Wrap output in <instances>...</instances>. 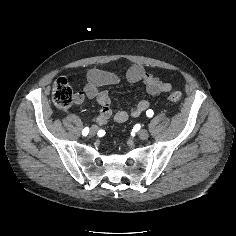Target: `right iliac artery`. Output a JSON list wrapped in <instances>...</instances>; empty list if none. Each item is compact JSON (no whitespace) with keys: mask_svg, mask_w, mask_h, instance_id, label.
I'll list each match as a JSON object with an SVG mask.
<instances>
[{"mask_svg":"<svg viewBox=\"0 0 236 236\" xmlns=\"http://www.w3.org/2000/svg\"><path fill=\"white\" fill-rule=\"evenodd\" d=\"M88 133H89V128L88 127L84 128L82 131V135L86 136V135H88Z\"/></svg>","mask_w":236,"mask_h":236,"instance_id":"obj_1","label":"right iliac artery"}]
</instances>
